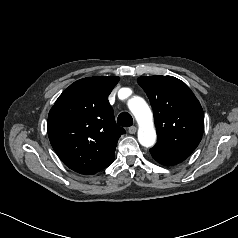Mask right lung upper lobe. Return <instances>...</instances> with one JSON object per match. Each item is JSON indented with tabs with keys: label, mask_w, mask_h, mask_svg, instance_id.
Wrapping results in <instances>:
<instances>
[{
	"label": "right lung upper lobe",
	"mask_w": 238,
	"mask_h": 238,
	"mask_svg": "<svg viewBox=\"0 0 238 238\" xmlns=\"http://www.w3.org/2000/svg\"><path fill=\"white\" fill-rule=\"evenodd\" d=\"M117 76L88 77L71 84L57 99L48 115L52 147L73 171L91 175L112 164L119 127L108 102L118 83Z\"/></svg>",
	"instance_id": "obj_1"
}]
</instances>
